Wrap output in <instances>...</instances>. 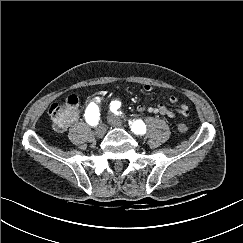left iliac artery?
Instances as JSON below:
<instances>
[{"label": "left iliac artery", "mask_w": 243, "mask_h": 243, "mask_svg": "<svg viewBox=\"0 0 243 243\" xmlns=\"http://www.w3.org/2000/svg\"><path fill=\"white\" fill-rule=\"evenodd\" d=\"M121 106V102L119 101H112L111 104H110V110L112 112H114L116 115H121L122 112L121 111H118V109L120 108ZM131 125V128H132V131L136 134H144L145 131H146V127L144 125V123L141 121V120H137V121H134V122H129Z\"/></svg>", "instance_id": "obj_1"}]
</instances>
